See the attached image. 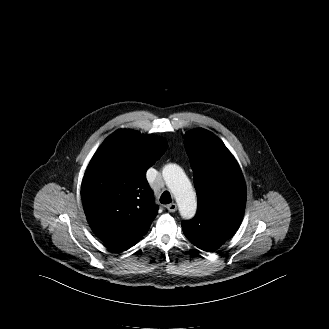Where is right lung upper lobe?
Wrapping results in <instances>:
<instances>
[{
	"label": "right lung upper lobe",
	"instance_id": "obj_1",
	"mask_svg": "<svg viewBox=\"0 0 329 329\" xmlns=\"http://www.w3.org/2000/svg\"><path fill=\"white\" fill-rule=\"evenodd\" d=\"M166 148L161 138L120 129L92 157L81 186L83 208L93 232L112 250L135 245L154 220L158 207L146 171Z\"/></svg>",
	"mask_w": 329,
	"mask_h": 329
}]
</instances>
